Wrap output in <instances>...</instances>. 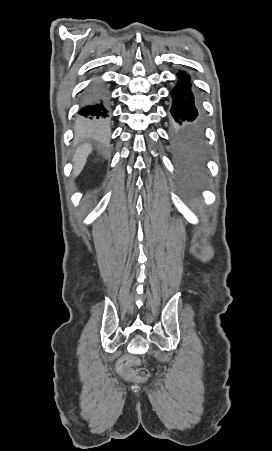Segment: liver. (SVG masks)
<instances>
[{
  "instance_id": "6515ba94",
  "label": "liver",
  "mask_w": 272,
  "mask_h": 451,
  "mask_svg": "<svg viewBox=\"0 0 272 451\" xmlns=\"http://www.w3.org/2000/svg\"><path fill=\"white\" fill-rule=\"evenodd\" d=\"M92 152V148L90 144H83V146H80V148H77L74 156H73V162H74V170H73V176L76 178V176H79L80 172H82L85 162L88 158V154Z\"/></svg>"
}]
</instances>
